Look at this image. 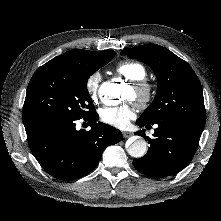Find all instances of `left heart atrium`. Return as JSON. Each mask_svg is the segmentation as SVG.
<instances>
[{
    "mask_svg": "<svg viewBox=\"0 0 221 221\" xmlns=\"http://www.w3.org/2000/svg\"><path fill=\"white\" fill-rule=\"evenodd\" d=\"M134 116V109L128 104L105 106L99 110L101 121L117 128H125Z\"/></svg>",
    "mask_w": 221,
    "mask_h": 221,
    "instance_id": "obj_1",
    "label": "left heart atrium"
}]
</instances>
